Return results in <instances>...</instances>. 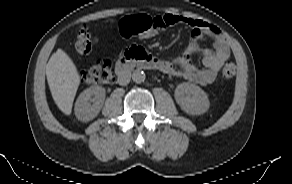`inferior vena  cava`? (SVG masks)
<instances>
[{
  "label": "inferior vena cava",
  "mask_w": 292,
  "mask_h": 184,
  "mask_svg": "<svg viewBox=\"0 0 292 184\" xmlns=\"http://www.w3.org/2000/svg\"><path fill=\"white\" fill-rule=\"evenodd\" d=\"M131 72L129 70H124L118 75L117 82L119 85L125 86L130 82Z\"/></svg>",
  "instance_id": "602c4592"
}]
</instances>
